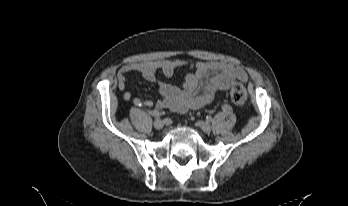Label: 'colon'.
<instances>
[{"mask_svg": "<svg viewBox=\"0 0 348 206\" xmlns=\"http://www.w3.org/2000/svg\"><path fill=\"white\" fill-rule=\"evenodd\" d=\"M230 98L236 106H243L247 99V91L245 87L240 83L233 85L230 90Z\"/></svg>", "mask_w": 348, "mask_h": 206, "instance_id": "obj_1", "label": "colon"}]
</instances>
